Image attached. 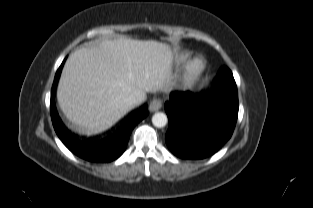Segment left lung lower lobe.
<instances>
[{"instance_id":"1","label":"left lung lower lobe","mask_w":313,"mask_h":208,"mask_svg":"<svg viewBox=\"0 0 313 208\" xmlns=\"http://www.w3.org/2000/svg\"><path fill=\"white\" fill-rule=\"evenodd\" d=\"M170 151L183 159H203L217 152L232 136L238 117L235 81L215 79L210 99L191 91L172 92L165 103Z\"/></svg>"}]
</instances>
